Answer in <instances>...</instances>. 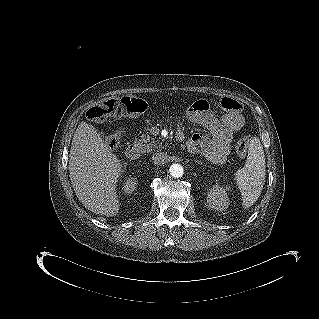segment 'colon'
I'll return each mask as SVG.
<instances>
[{"mask_svg":"<svg viewBox=\"0 0 319 319\" xmlns=\"http://www.w3.org/2000/svg\"><path fill=\"white\" fill-rule=\"evenodd\" d=\"M217 105L228 111H240L242 104L229 97H223L217 100ZM146 103L142 99L130 96H124L117 99H110L103 103L92 106L87 111V117L90 121L101 123L107 119L120 118L122 116H133L141 114L146 110ZM125 134L124 128H119L105 136V143L110 149H115ZM251 143L250 137L240 140L236 146V154L243 156Z\"/></svg>","mask_w":319,"mask_h":319,"instance_id":"1","label":"colon"}]
</instances>
